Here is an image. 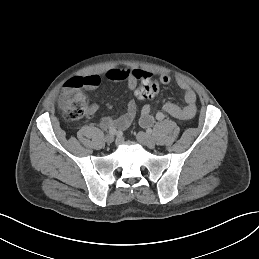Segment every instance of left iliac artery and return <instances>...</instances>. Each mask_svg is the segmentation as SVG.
Returning <instances> with one entry per match:
<instances>
[{
  "label": "left iliac artery",
  "instance_id": "left-iliac-artery-1",
  "mask_svg": "<svg viewBox=\"0 0 259 259\" xmlns=\"http://www.w3.org/2000/svg\"><path fill=\"white\" fill-rule=\"evenodd\" d=\"M164 117H165V115L162 112H158L156 114V119L159 120V121L163 120Z\"/></svg>",
  "mask_w": 259,
  "mask_h": 259
}]
</instances>
